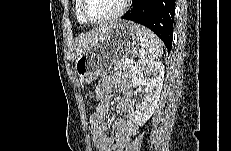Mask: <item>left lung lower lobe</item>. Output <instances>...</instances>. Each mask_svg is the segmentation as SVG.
Here are the masks:
<instances>
[{
  "label": "left lung lower lobe",
  "mask_w": 231,
  "mask_h": 151,
  "mask_svg": "<svg viewBox=\"0 0 231 151\" xmlns=\"http://www.w3.org/2000/svg\"><path fill=\"white\" fill-rule=\"evenodd\" d=\"M175 0H133L130 11L122 19L142 24L152 30L171 50Z\"/></svg>",
  "instance_id": "left-lung-lower-lobe-1"
}]
</instances>
